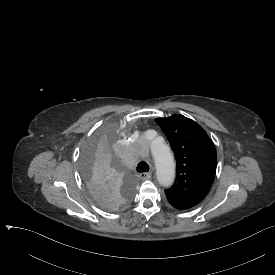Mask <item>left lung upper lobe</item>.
I'll list each match as a JSON object with an SVG mask.
<instances>
[{
  "instance_id": "obj_1",
  "label": "left lung upper lobe",
  "mask_w": 275,
  "mask_h": 275,
  "mask_svg": "<svg viewBox=\"0 0 275 275\" xmlns=\"http://www.w3.org/2000/svg\"><path fill=\"white\" fill-rule=\"evenodd\" d=\"M175 154L176 180L165 190L169 203L185 210L208 194L216 172L217 154L212 140L193 120L183 115L155 119Z\"/></svg>"
}]
</instances>
